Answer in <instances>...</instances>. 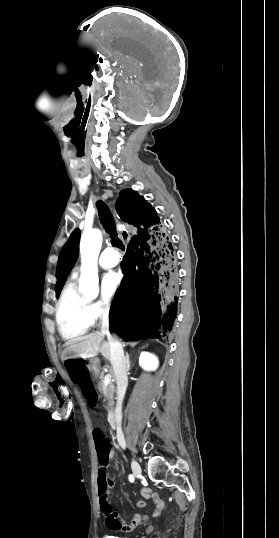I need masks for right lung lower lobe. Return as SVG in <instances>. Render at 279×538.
<instances>
[{"mask_svg":"<svg viewBox=\"0 0 279 538\" xmlns=\"http://www.w3.org/2000/svg\"><path fill=\"white\" fill-rule=\"evenodd\" d=\"M119 217L129 224L122 262L125 273L111 305L109 322L127 340L158 337L176 319L179 276L176 253L156 211L138 193L124 189L116 202Z\"/></svg>","mask_w":279,"mask_h":538,"instance_id":"obj_1","label":"right lung lower lobe"}]
</instances>
